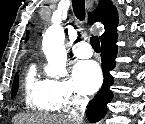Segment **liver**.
Here are the masks:
<instances>
[{
    "mask_svg": "<svg viewBox=\"0 0 145 124\" xmlns=\"http://www.w3.org/2000/svg\"><path fill=\"white\" fill-rule=\"evenodd\" d=\"M14 124H75L63 116L45 114H20L13 118Z\"/></svg>",
    "mask_w": 145,
    "mask_h": 124,
    "instance_id": "6515ba94",
    "label": "liver"
}]
</instances>
